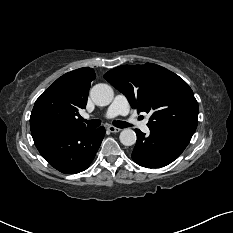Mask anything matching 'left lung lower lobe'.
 Masks as SVG:
<instances>
[{"label":"left lung lower lobe","mask_w":233,"mask_h":233,"mask_svg":"<svg viewBox=\"0 0 233 233\" xmlns=\"http://www.w3.org/2000/svg\"><path fill=\"white\" fill-rule=\"evenodd\" d=\"M137 142L131 157L140 166L160 168L168 165L184 151L192 136L174 131L150 130L145 136L136 129Z\"/></svg>","instance_id":"1"}]
</instances>
